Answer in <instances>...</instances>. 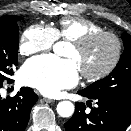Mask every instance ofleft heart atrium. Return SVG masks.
<instances>
[{
	"label": "left heart atrium",
	"instance_id": "39dd6f15",
	"mask_svg": "<svg viewBox=\"0 0 131 131\" xmlns=\"http://www.w3.org/2000/svg\"><path fill=\"white\" fill-rule=\"evenodd\" d=\"M22 81L48 96L74 86L79 80V69L73 59L53 55L30 59L21 70Z\"/></svg>",
	"mask_w": 131,
	"mask_h": 131
}]
</instances>
